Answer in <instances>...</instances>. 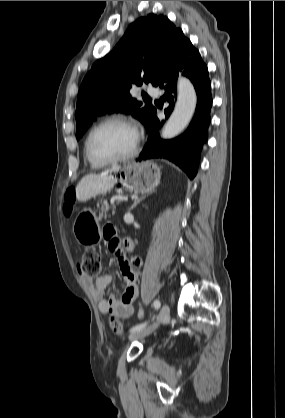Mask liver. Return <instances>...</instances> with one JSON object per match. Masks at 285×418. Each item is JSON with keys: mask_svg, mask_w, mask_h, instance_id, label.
<instances>
[{"mask_svg": "<svg viewBox=\"0 0 285 418\" xmlns=\"http://www.w3.org/2000/svg\"><path fill=\"white\" fill-rule=\"evenodd\" d=\"M119 169V167H114L98 175L88 174L84 176L76 186L77 199L79 201H86L113 188L117 179L111 173Z\"/></svg>", "mask_w": 285, "mask_h": 418, "instance_id": "1", "label": "liver"}]
</instances>
